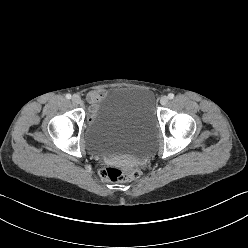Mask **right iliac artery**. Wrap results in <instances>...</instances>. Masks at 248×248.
I'll use <instances>...</instances> for the list:
<instances>
[{
	"label": "right iliac artery",
	"instance_id": "obj_1",
	"mask_svg": "<svg viewBox=\"0 0 248 248\" xmlns=\"http://www.w3.org/2000/svg\"><path fill=\"white\" fill-rule=\"evenodd\" d=\"M67 99H71V94H66Z\"/></svg>",
	"mask_w": 248,
	"mask_h": 248
}]
</instances>
